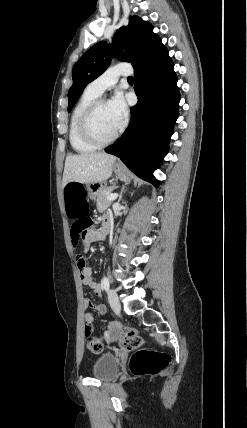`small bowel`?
I'll return each instance as SVG.
<instances>
[{"instance_id": "1", "label": "small bowel", "mask_w": 247, "mask_h": 428, "mask_svg": "<svg viewBox=\"0 0 247 428\" xmlns=\"http://www.w3.org/2000/svg\"><path fill=\"white\" fill-rule=\"evenodd\" d=\"M106 218H108V217L105 216L103 218V220ZM102 238H103V234L101 232V229L100 230L89 229L84 234L83 241H84L85 245H89L90 243L98 241ZM78 268L80 270V279H81L83 286L92 289L95 296L101 297L102 296V288H101L100 284L92 278V269L90 267H88L86 264H84L82 267H78ZM84 300H89V299H84ZM88 307L89 306L83 305V309L85 311L84 320L87 317H90L94 322L93 315L87 311ZM105 338L107 341H112L113 336L110 334H106Z\"/></svg>"}]
</instances>
